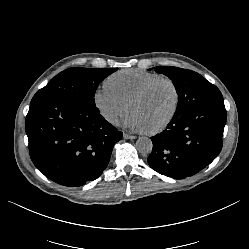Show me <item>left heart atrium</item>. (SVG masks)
<instances>
[{
  "mask_svg": "<svg viewBox=\"0 0 249 249\" xmlns=\"http://www.w3.org/2000/svg\"><path fill=\"white\" fill-rule=\"evenodd\" d=\"M120 124L126 128L134 130V131H138V132L147 131V128L144 125L140 115L134 110L127 111L120 118Z\"/></svg>",
  "mask_w": 249,
  "mask_h": 249,
  "instance_id": "left-heart-atrium-1",
  "label": "left heart atrium"
}]
</instances>
